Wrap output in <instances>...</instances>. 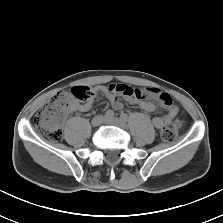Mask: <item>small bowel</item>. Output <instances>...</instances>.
<instances>
[{
	"instance_id": "c3829d8e",
	"label": "small bowel",
	"mask_w": 223,
	"mask_h": 223,
	"mask_svg": "<svg viewBox=\"0 0 223 223\" xmlns=\"http://www.w3.org/2000/svg\"><path fill=\"white\" fill-rule=\"evenodd\" d=\"M129 89L132 88L126 84H111L108 87L98 86L95 88V91L98 93L99 97L107 98L115 110H120L123 108V103L119 98V96L122 95L128 103L138 105L147 112H153L156 110V104L146 99L147 97L153 98L162 108L168 111L167 115L164 117L153 118L152 123L156 128L161 129L164 124L169 121H175L176 123L178 122L176 120L178 108L173 104L172 98L168 93L160 92L154 87L136 89L142 95V97H140L125 94V91ZM91 105V102L74 103L72 109L80 112H87L90 110Z\"/></svg>"
}]
</instances>
